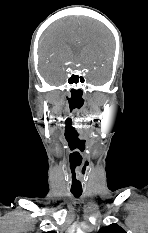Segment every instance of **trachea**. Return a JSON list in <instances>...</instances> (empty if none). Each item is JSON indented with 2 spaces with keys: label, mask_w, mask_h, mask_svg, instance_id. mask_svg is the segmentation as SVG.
<instances>
[{
  "label": "trachea",
  "mask_w": 148,
  "mask_h": 233,
  "mask_svg": "<svg viewBox=\"0 0 148 233\" xmlns=\"http://www.w3.org/2000/svg\"><path fill=\"white\" fill-rule=\"evenodd\" d=\"M71 193L76 197L79 198L82 194V191H71Z\"/></svg>",
  "instance_id": "trachea-1"
}]
</instances>
